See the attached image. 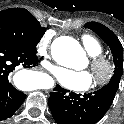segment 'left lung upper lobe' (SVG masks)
Wrapping results in <instances>:
<instances>
[{"label":"left lung upper lobe","instance_id":"left-lung-upper-lobe-1","mask_svg":"<svg viewBox=\"0 0 124 124\" xmlns=\"http://www.w3.org/2000/svg\"><path fill=\"white\" fill-rule=\"evenodd\" d=\"M85 27L95 31L110 47L113 54L115 70L107 85L117 90L123 74V47L119 39L109 28L100 23L89 22L85 24Z\"/></svg>","mask_w":124,"mask_h":124}]
</instances>
